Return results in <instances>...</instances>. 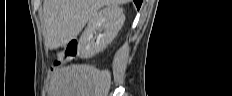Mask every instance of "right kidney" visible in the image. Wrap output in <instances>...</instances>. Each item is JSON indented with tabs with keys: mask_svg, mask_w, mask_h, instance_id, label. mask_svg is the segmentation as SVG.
<instances>
[{
	"mask_svg": "<svg viewBox=\"0 0 232 96\" xmlns=\"http://www.w3.org/2000/svg\"><path fill=\"white\" fill-rule=\"evenodd\" d=\"M124 21L123 9L118 5H108L96 12L79 39L78 55L90 58L102 51L116 37ZM96 33L99 35L95 41Z\"/></svg>",
	"mask_w": 232,
	"mask_h": 96,
	"instance_id": "obj_1",
	"label": "right kidney"
}]
</instances>
